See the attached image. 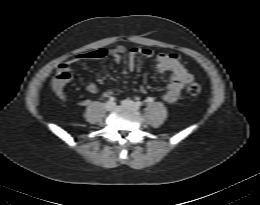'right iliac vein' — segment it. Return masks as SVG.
<instances>
[{
  "instance_id": "1",
  "label": "right iliac vein",
  "mask_w": 260,
  "mask_h": 205,
  "mask_svg": "<svg viewBox=\"0 0 260 205\" xmlns=\"http://www.w3.org/2000/svg\"><path fill=\"white\" fill-rule=\"evenodd\" d=\"M104 107L107 111H110L115 107V104L113 102H107Z\"/></svg>"
}]
</instances>
